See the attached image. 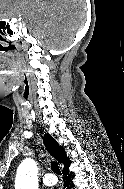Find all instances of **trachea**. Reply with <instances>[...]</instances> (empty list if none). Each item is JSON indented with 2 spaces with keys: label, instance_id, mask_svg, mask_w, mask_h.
Listing matches in <instances>:
<instances>
[{
  "label": "trachea",
  "instance_id": "3493384b",
  "mask_svg": "<svg viewBox=\"0 0 124 189\" xmlns=\"http://www.w3.org/2000/svg\"><path fill=\"white\" fill-rule=\"evenodd\" d=\"M51 169L54 173L58 174V175H61V171H60V168L58 166V163L56 161H52L51 162Z\"/></svg>",
  "mask_w": 124,
  "mask_h": 189
}]
</instances>
